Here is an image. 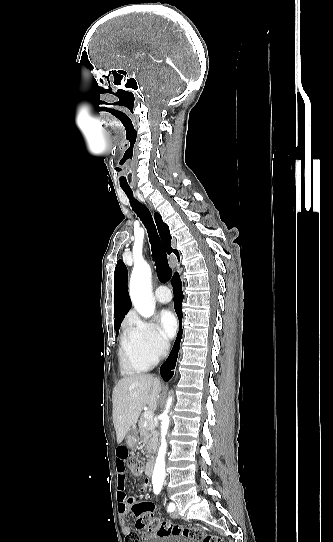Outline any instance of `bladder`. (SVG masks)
<instances>
[{"label":"bladder","instance_id":"31cf9c89","mask_svg":"<svg viewBox=\"0 0 333 542\" xmlns=\"http://www.w3.org/2000/svg\"><path fill=\"white\" fill-rule=\"evenodd\" d=\"M143 542H198L196 539H190L187 535L183 534H164L155 535L144 540Z\"/></svg>","mask_w":333,"mask_h":542}]
</instances>
